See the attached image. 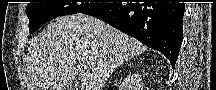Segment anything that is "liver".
Masks as SVG:
<instances>
[{"label": "liver", "mask_w": 216, "mask_h": 90, "mask_svg": "<svg viewBox=\"0 0 216 90\" xmlns=\"http://www.w3.org/2000/svg\"><path fill=\"white\" fill-rule=\"evenodd\" d=\"M146 50L92 16L57 18L28 48L27 90H103L118 66Z\"/></svg>", "instance_id": "1"}]
</instances>
